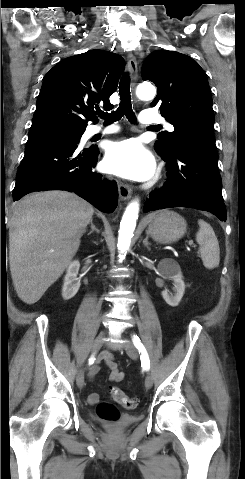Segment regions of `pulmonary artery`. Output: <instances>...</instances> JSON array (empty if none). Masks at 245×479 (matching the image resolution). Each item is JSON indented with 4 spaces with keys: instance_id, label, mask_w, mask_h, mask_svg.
<instances>
[{
    "instance_id": "obj_1",
    "label": "pulmonary artery",
    "mask_w": 245,
    "mask_h": 479,
    "mask_svg": "<svg viewBox=\"0 0 245 479\" xmlns=\"http://www.w3.org/2000/svg\"><path fill=\"white\" fill-rule=\"evenodd\" d=\"M140 121L143 124L155 127L156 124L165 123L164 119L153 109L143 110L140 114ZM169 131H173L174 127L171 124L165 123ZM118 130L115 126H94L90 129V134H112Z\"/></svg>"
}]
</instances>
